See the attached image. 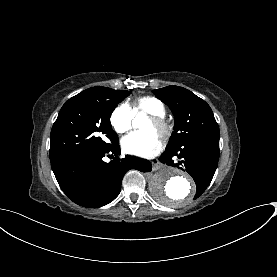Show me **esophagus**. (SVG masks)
I'll list each match as a JSON object with an SVG mask.
<instances>
[{"label":"esophagus","instance_id":"1","mask_svg":"<svg viewBox=\"0 0 277 277\" xmlns=\"http://www.w3.org/2000/svg\"><path fill=\"white\" fill-rule=\"evenodd\" d=\"M151 164L153 171H157L163 167V164L158 160V158L151 160Z\"/></svg>","mask_w":277,"mask_h":277}]
</instances>
